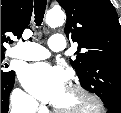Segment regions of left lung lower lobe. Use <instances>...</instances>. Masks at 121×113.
I'll return each instance as SVG.
<instances>
[{"label":"left lung lower lobe","instance_id":"left-lung-lower-lobe-1","mask_svg":"<svg viewBox=\"0 0 121 113\" xmlns=\"http://www.w3.org/2000/svg\"><path fill=\"white\" fill-rule=\"evenodd\" d=\"M108 113H121V112H117V111H114V110H108Z\"/></svg>","mask_w":121,"mask_h":113}]
</instances>
